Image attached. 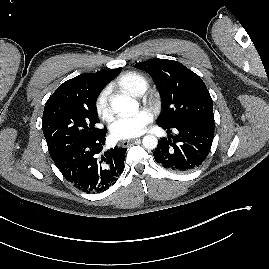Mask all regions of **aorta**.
<instances>
[{
    "label": "aorta",
    "mask_w": 269,
    "mask_h": 269,
    "mask_svg": "<svg viewBox=\"0 0 269 269\" xmlns=\"http://www.w3.org/2000/svg\"><path fill=\"white\" fill-rule=\"evenodd\" d=\"M111 108L117 114L121 116H131L134 115L139 107L138 102L127 96V95H117L110 102ZM143 146L146 149H155L158 144V140L154 135H146L143 138Z\"/></svg>",
    "instance_id": "1"
}]
</instances>
